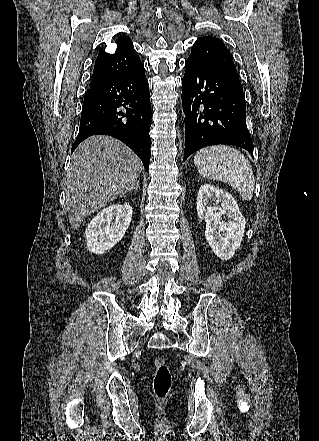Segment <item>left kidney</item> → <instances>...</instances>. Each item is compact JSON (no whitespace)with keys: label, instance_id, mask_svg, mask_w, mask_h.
I'll use <instances>...</instances> for the list:
<instances>
[{"label":"left kidney","instance_id":"obj_1","mask_svg":"<svg viewBox=\"0 0 319 441\" xmlns=\"http://www.w3.org/2000/svg\"><path fill=\"white\" fill-rule=\"evenodd\" d=\"M215 202H221V206L211 207ZM196 208L199 218L206 222L205 237L212 251L221 260L232 258L241 245L246 227L236 200L205 184L199 189ZM223 215H226L227 222L222 220Z\"/></svg>","mask_w":319,"mask_h":441}]
</instances>
